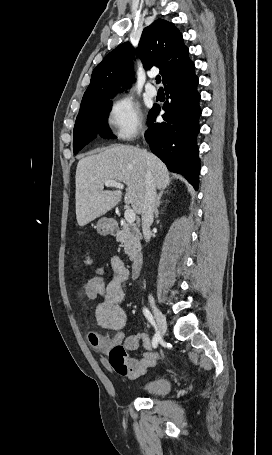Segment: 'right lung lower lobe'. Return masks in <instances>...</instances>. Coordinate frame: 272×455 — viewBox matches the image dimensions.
<instances>
[{
	"label": "right lung lower lobe",
	"instance_id": "right-lung-lower-lobe-1",
	"mask_svg": "<svg viewBox=\"0 0 272 455\" xmlns=\"http://www.w3.org/2000/svg\"><path fill=\"white\" fill-rule=\"evenodd\" d=\"M198 78L191 71L186 76L165 86L167 99L162 109L164 122L155 123L160 107H153L148 116L146 141L151 151L166 165L168 170L182 174L197 190L199 183V158L196 136L200 94Z\"/></svg>",
	"mask_w": 272,
	"mask_h": 455
}]
</instances>
